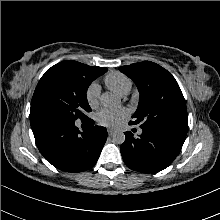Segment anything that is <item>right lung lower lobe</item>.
Masks as SVG:
<instances>
[{
	"label": "right lung lower lobe",
	"mask_w": 220,
	"mask_h": 220,
	"mask_svg": "<svg viewBox=\"0 0 220 220\" xmlns=\"http://www.w3.org/2000/svg\"><path fill=\"white\" fill-rule=\"evenodd\" d=\"M88 127L80 132L75 121L43 113H30L36 145L44 158L59 170L81 172L92 168L101 153L108 133L105 127L84 120Z\"/></svg>",
	"instance_id": "98d812e1"
}]
</instances>
